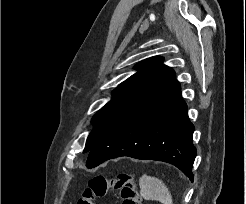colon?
<instances>
[{
    "instance_id": "obj_1",
    "label": "colon",
    "mask_w": 246,
    "mask_h": 204,
    "mask_svg": "<svg viewBox=\"0 0 246 204\" xmlns=\"http://www.w3.org/2000/svg\"><path fill=\"white\" fill-rule=\"evenodd\" d=\"M110 190L120 194L122 204H140L141 202L134 178L127 174H120L114 178L96 176L90 179L77 204H95L97 198L104 197Z\"/></svg>"
}]
</instances>
